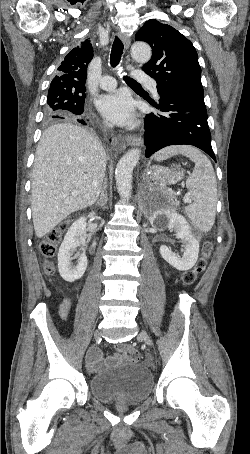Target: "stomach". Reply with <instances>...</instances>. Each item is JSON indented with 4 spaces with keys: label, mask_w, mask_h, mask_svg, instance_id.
I'll return each mask as SVG.
<instances>
[{
    "label": "stomach",
    "mask_w": 250,
    "mask_h": 454,
    "mask_svg": "<svg viewBox=\"0 0 250 454\" xmlns=\"http://www.w3.org/2000/svg\"><path fill=\"white\" fill-rule=\"evenodd\" d=\"M183 176V172L176 169H156L153 173V178L163 182L172 184L179 181ZM144 204V203H143Z\"/></svg>",
    "instance_id": "0dacf381"
}]
</instances>
